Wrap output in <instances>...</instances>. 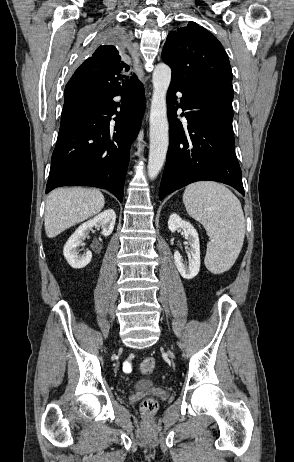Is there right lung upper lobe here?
<instances>
[{
  "instance_id": "obj_1",
  "label": "right lung upper lobe",
  "mask_w": 294,
  "mask_h": 462,
  "mask_svg": "<svg viewBox=\"0 0 294 462\" xmlns=\"http://www.w3.org/2000/svg\"><path fill=\"white\" fill-rule=\"evenodd\" d=\"M128 70L115 46L101 45L75 71L65 87L64 98L69 100L77 93L94 96L121 89L131 82L122 81V85L119 82L120 73Z\"/></svg>"
}]
</instances>
